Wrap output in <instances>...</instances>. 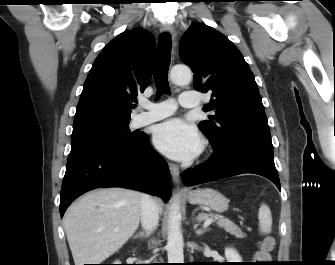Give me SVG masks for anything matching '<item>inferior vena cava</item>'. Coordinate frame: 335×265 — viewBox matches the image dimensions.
<instances>
[{
	"label": "inferior vena cava",
	"mask_w": 335,
	"mask_h": 265,
	"mask_svg": "<svg viewBox=\"0 0 335 265\" xmlns=\"http://www.w3.org/2000/svg\"><path fill=\"white\" fill-rule=\"evenodd\" d=\"M140 218L143 228L149 233L158 226L159 211L155 201L149 195H142Z\"/></svg>",
	"instance_id": "1"
}]
</instances>
